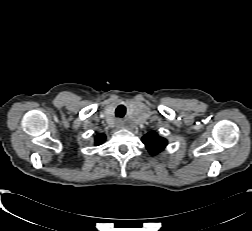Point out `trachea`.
I'll use <instances>...</instances> for the list:
<instances>
[{
	"label": "trachea",
	"instance_id": "trachea-1",
	"mask_svg": "<svg viewBox=\"0 0 252 231\" xmlns=\"http://www.w3.org/2000/svg\"><path fill=\"white\" fill-rule=\"evenodd\" d=\"M125 113H126V108H125V106L124 105H119L117 108H116V110H115V115H116V117H124V115H125Z\"/></svg>",
	"mask_w": 252,
	"mask_h": 231
}]
</instances>
